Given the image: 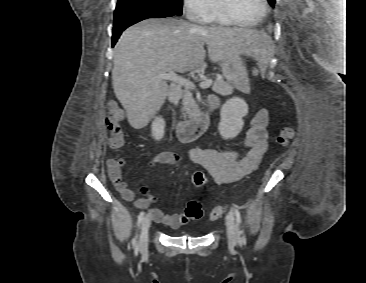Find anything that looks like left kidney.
Instances as JSON below:
<instances>
[{
  "mask_svg": "<svg viewBox=\"0 0 366 283\" xmlns=\"http://www.w3.org/2000/svg\"><path fill=\"white\" fill-rule=\"evenodd\" d=\"M248 113V106L243 99L232 98L226 101L220 111L218 130L222 138L233 139L241 132L243 117Z\"/></svg>",
  "mask_w": 366,
  "mask_h": 283,
  "instance_id": "left-kidney-1",
  "label": "left kidney"
}]
</instances>
